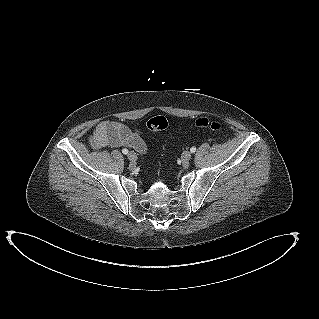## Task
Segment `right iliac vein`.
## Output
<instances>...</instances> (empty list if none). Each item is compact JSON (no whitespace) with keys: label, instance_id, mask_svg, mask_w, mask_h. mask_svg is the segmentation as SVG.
<instances>
[{"label":"right iliac vein","instance_id":"obj_1","mask_svg":"<svg viewBox=\"0 0 319 319\" xmlns=\"http://www.w3.org/2000/svg\"><path fill=\"white\" fill-rule=\"evenodd\" d=\"M128 159L132 162H135L137 160V155L135 152L131 151L127 155Z\"/></svg>","mask_w":319,"mask_h":319}]
</instances>
